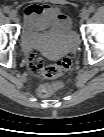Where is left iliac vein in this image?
<instances>
[{"instance_id":"obj_1","label":"left iliac vein","mask_w":104,"mask_h":137,"mask_svg":"<svg viewBox=\"0 0 104 137\" xmlns=\"http://www.w3.org/2000/svg\"><path fill=\"white\" fill-rule=\"evenodd\" d=\"M81 18L83 20H87L89 18V11L88 10H83L81 13Z\"/></svg>"}]
</instances>
